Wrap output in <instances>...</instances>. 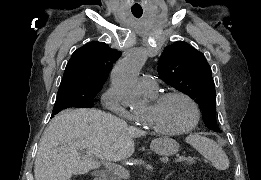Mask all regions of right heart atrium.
Instances as JSON below:
<instances>
[{"label":"right heart atrium","mask_w":261,"mask_h":180,"mask_svg":"<svg viewBox=\"0 0 261 180\" xmlns=\"http://www.w3.org/2000/svg\"><path fill=\"white\" fill-rule=\"evenodd\" d=\"M101 102L103 108H110V112H116L118 117H125V120H130L131 123L132 116L125 108L118 104L117 97L114 95L113 87H110L103 93ZM127 127H129L130 131V125H127Z\"/></svg>","instance_id":"1"}]
</instances>
